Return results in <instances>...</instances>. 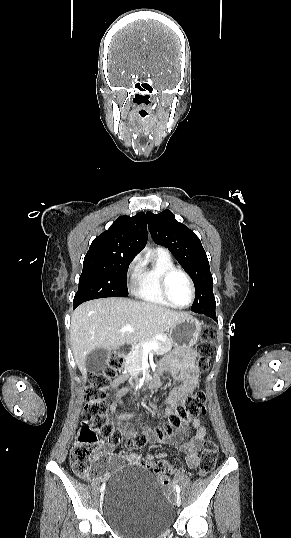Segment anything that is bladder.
Returning <instances> with one entry per match:
<instances>
[{"label":"bladder","mask_w":291,"mask_h":538,"mask_svg":"<svg viewBox=\"0 0 291 538\" xmlns=\"http://www.w3.org/2000/svg\"><path fill=\"white\" fill-rule=\"evenodd\" d=\"M101 503L106 523L130 538H154L175 520L154 476L136 465L121 466L110 475Z\"/></svg>","instance_id":"1"}]
</instances>
